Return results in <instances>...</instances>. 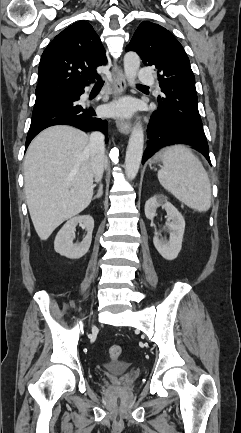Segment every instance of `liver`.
<instances>
[{"label": "liver", "instance_id": "6515ba94", "mask_svg": "<svg viewBox=\"0 0 241 433\" xmlns=\"http://www.w3.org/2000/svg\"><path fill=\"white\" fill-rule=\"evenodd\" d=\"M88 143L89 136L83 131L58 125L38 134L27 149L24 189L41 240H47L92 200L94 172Z\"/></svg>", "mask_w": 241, "mask_h": 433}]
</instances>
